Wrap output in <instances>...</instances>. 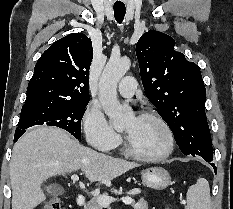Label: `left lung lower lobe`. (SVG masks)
<instances>
[{
  "instance_id": "obj_1",
  "label": "left lung lower lobe",
  "mask_w": 233,
  "mask_h": 209,
  "mask_svg": "<svg viewBox=\"0 0 233 209\" xmlns=\"http://www.w3.org/2000/svg\"><path fill=\"white\" fill-rule=\"evenodd\" d=\"M205 161H208V162H211L212 161V157H205V158H203ZM211 165L213 166V168H214V171L216 172V167H215V165L213 164V163H211Z\"/></svg>"
}]
</instances>
